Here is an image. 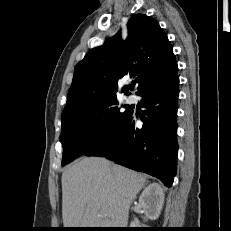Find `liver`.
<instances>
[{"label": "liver", "instance_id": "1", "mask_svg": "<svg viewBox=\"0 0 231 231\" xmlns=\"http://www.w3.org/2000/svg\"><path fill=\"white\" fill-rule=\"evenodd\" d=\"M64 228H126L143 175L99 157H84L62 174Z\"/></svg>", "mask_w": 231, "mask_h": 231}]
</instances>
